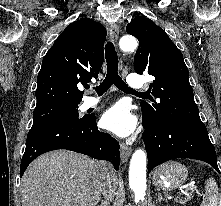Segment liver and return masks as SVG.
Returning <instances> with one entry per match:
<instances>
[{"label":"liver","instance_id":"1","mask_svg":"<svg viewBox=\"0 0 221 206\" xmlns=\"http://www.w3.org/2000/svg\"><path fill=\"white\" fill-rule=\"evenodd\" d=\"M104 164L65 150L41 155L21 179L22 206H96Z\"/></svg>","mask_w":221,"mask_h":206}]
</instances>
